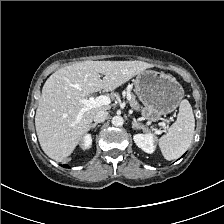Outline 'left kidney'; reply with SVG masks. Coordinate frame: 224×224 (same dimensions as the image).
<instances>
[{"mask_svg":"<svg viewBox=\"0 0 224 224\" xmlns=\"http://www.w3.org/2000/svg\"><path fill=\"white\" fill-rule=\"evenodd\" d=\"M133 139L136 145L144 152L151 154L155 151V136L153 134H135Z\"/></svg>","mask_w":224,"mask_h":224,"instance_id":"5707ae66","label":"left kidney"}]
</instances>
